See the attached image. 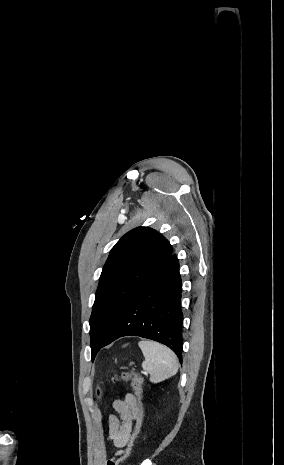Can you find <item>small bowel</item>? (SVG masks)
Masks as SVG:
<instances>
[{"label":"small bowel","mask_w":284,"mask_h":465,"mask_svg":"<svg viewBox=\"0 0 284 465\" xmlns=\"http://www.w3.org/2000/svg\"><path fill=\"white\" fill-rule=\"evenodd\" d=\"M113 407L119 416H109L108 433L109 439L115 448L119 450L118 453H120L124 449L135 423L139 418L138 404L135 397L128 394L125 399L114 401ZM109 462L105 465H109Z\"/></svg>","instance_id":"small-bowel-1"}]
</instances>
